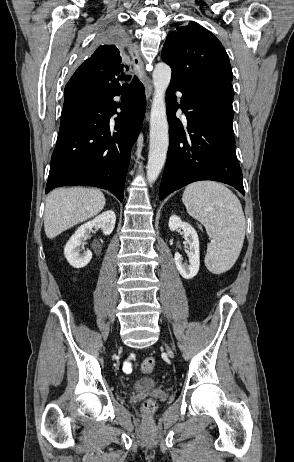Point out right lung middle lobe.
<instances>
[{"label":"right lung middle lobe","mask_w":294,"mask_h":462,"mask_svg":"<svg viewBox=\"0 0 294 462\" xmlns=\"http://www.w3.org/2000/svg\"><path fill=\"white\" fill-rule=\"evenodd\" d=\"M123 38V32L118 27L109 28L98 35V38L95 42L96 45H103L108 43H118ZM79 100L65 101L64 106L79 104Z\"/></svg>","instance_id":"obj_1"}]
</instances>
